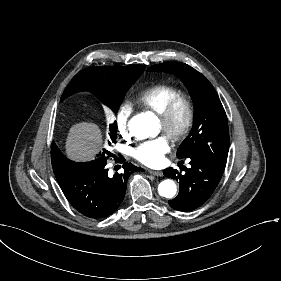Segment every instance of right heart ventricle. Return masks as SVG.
I'll return each instance as SVG.
<instances>
[{"mask_svg": "<svg viewBox=\"0 0 281 281\" xmlns=\"http://www.w3.org/2000/svg\"><path fill=\"white\" fill-rule=\"evenodd\" d=\"M180 88L159 84L141 91L135 98L136 104L153 113H160L166 104L174 97L182 95Z\"/></svg>", "mask_w": 281, "mask_h": 281, "instance_id": "obj_1", "label": "right heart ventricle"}]
</instances>
